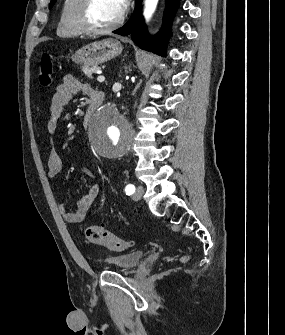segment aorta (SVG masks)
<instances>
[{
	"instance_id": "obj_1",
	"label": "aorta",
	"mask_w": 285,
	"mask_h": 335,
	"mask_svg": "<svg viewBox=\"0 0 285 335\" xmlns=\"http://www.w3.org/2000/svg\"><path fill=\"white\" fill-rule=\"evenodd\" d=\"M159 0H145L144 16L148 22L156 10ZM123 102H130V95H109L99 112H93L89 119L86 134L92 137L91 147H97V155L104 160H117L124 152L130 151L131 137L134 131L122 119Z\"/></svg>"
}]
</instances>
